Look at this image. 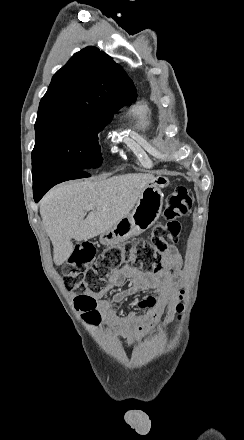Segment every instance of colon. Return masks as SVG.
Returning a JSON list of instances; mask_svg holds the SVG:
<instances>
[{"mask_svg": "<svg viewBox=\"0 0 244 440\" xmlns=\"http://www.w3.org/2000/svg\"><path fill=\"white\" fill-rule=\"evenodd\" d=\"M192 207L190 193L185 187H178L165 201V223L158 224L148 241H138L133 247L117 248L96 257V248L92 242L85 243L81 248H73L71 260L64 262V275L61 276L62 284H67L69 294H77L75 305L79 313H84L85 319H99V310H95L98 300L91 294H98L104 285L106 270L117 268L123 263L132 262L136 266H143L148 273H156L162 268V254L168 246L178 239L181 225L178 219L189 214ZM98 260L95 271L93 262ZM89 271L85 277L82 272ZM91 294H87V293ZM176 310L179 317L185 311L183 304H178Z\"/></svg>", "mask_w": 244, "mask_h": 440, "instance_id": "colon-1", "label": "colon"}]
</instances>
